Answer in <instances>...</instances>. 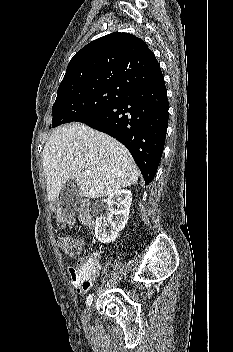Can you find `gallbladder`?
Here are the masks:
<instances>
[{
	"mask_svg": "<svg viewBox=\"0 0 233 352\" xmlns=\"http://www.w3.org/2000/svg\"><path fill=\"white\" fill-rule=\"evenodd\" d=\"M81 196L79 194V186L75 180L67 181L61 189L59 196V204L63 212L66 214H75L79 211V203Z\"/></svg>",
	"mask_w": 233,
	"mask_h": 352,
	"instance_id": "1",
	"label": "gallbladder"
}]
</instances>
